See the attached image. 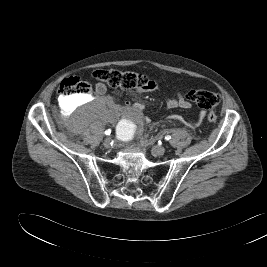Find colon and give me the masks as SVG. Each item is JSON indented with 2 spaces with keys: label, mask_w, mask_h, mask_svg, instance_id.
Instances as JSON below:
<instances>
[{
  "label": "colon",
  "mask_w": 267,
  "mask_h": 267,
  "mask_svg": "<svg viewBox=\"0 0 267 267\" xmlns=\"http://www.w3.org/2000/svg\"><path fill=\"white\" fill-rule=\"evenodd\" d=\"M93 77L112 87H119L123 89H146L151 88L154 83L142 74L116 69L95 70L93 72ZM90 90L91 87L87 82L77 78L65 79L58 87V93L65 98L85 96L90 92ZM186 98L190 102H193L199 107L207 110L215 108L220 102L218 94L207 90H191L186 94ZM207 119L213 124L217 122V116L212 111L208 113Z\"/></svg>",
  "instance_id": "1"
}]
</instances>
